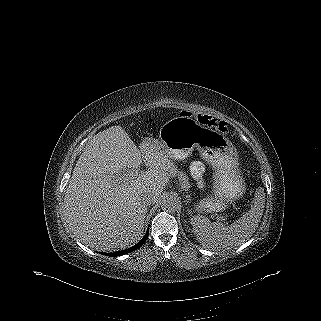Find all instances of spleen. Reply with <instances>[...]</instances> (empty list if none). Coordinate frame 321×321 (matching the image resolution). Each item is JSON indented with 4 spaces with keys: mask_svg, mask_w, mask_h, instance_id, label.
<instances>
[{
    "mask_svg": "<svg viewBox=\"0 0 321 321\" xmlns=\"http://www.w3.org/2000/svg\"><path fill=\"white\" fill-rule=\"evenodd\" d=\"M265 207L264 190L260 188L251 209L236 222L225 226L220 222L211 223L207 218H191V225L197 240L211 250L232 249L252 236L258 228Z\"/></svg>",
    "mask_w": 321,
    "mask_h": 321,
    "instance_id": "1",
    "label": "spleen"
}]
</instances>
